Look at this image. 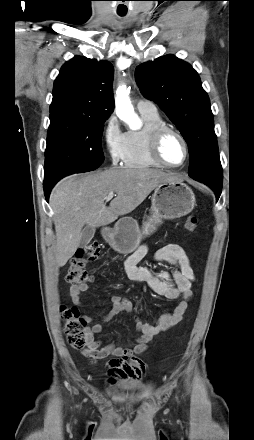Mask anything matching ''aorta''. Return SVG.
Listing matches in <instances>:
<instances>
[{"label":"aorta","instance_id":"1","mask_svg":"<svg viewBox=\"0 0 254 440\" xmlns=\"http://www.w3.org/2000/svg\"><path fill=\"white\" fill-rule=\"evenodd\" d=\"M115 105L117 116L126 122L130 129L135 130L140 127L141 121L135 114L129 95L125 91H119L117 93Z\"/></svg>","mask_w":254,"mask_h":440}]
</instances>
